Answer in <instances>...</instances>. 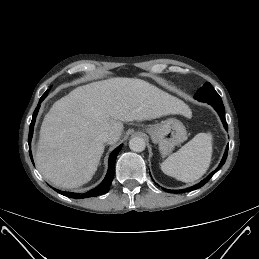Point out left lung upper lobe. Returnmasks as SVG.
Segmentation results:
<instances>
[{
  "label": "left lung upper lobe",
  "mask_w": 259,
  "mask_h": 259,
  "mask_svg": "<svg viewBox=\"0 0 259 259\" xmlns=\"http://www.w3.org/2000/svg\"><path fill=\"white\" fill-rule=\"evenodd\" d=\"M195 99L202 102L222 101L219 94L214 90L210 83H205L194 96Z\"/></svg>",
  "instance_id": "obj_1"
}]
</instances>
